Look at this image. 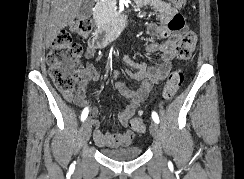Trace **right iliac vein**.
<instances>
[{"mask_svg": "<svg viewBox=\"0 0 244 179\" xmlns=\"http://www.w3.org/2000/svg\"><path fill=\"white\" fill-rule=\"evenodd\" d=\"M91 131H92V124H91V120L88 118L83 122L81 128V140L83 145L86 143V141L90 139Z\"/></svg>", "mask_w": 244, "mask_h": 179, "instance_id": "1", "label": "right iliac vein"}]
</instances>
